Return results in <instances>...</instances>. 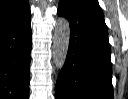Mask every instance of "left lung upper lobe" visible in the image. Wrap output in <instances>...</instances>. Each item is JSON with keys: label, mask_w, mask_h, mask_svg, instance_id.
<instances>
[{"label": "left lung upper lobe", "mask_w": 128, "mask_h": 99, "mask_svg": "<svg viewBox=\"0 0 128 99\" xmlns=\"http://www.w3.org/2000/svg\"><path fill=\"white\" fill-rule=\"evenodd\" d=\"M85 1L90 2V3L99 7V4H98L97 0H85Z\"/></svg>", "instance_id": "1"}]
</instances>
